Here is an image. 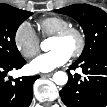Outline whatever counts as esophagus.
<instances>
[{
  "instance_id": "esophagus-1",
  "label": "esophagus",
  "mask_w": 107,
  "mask_h": 107,
  "mask_svg": "<svg viewBox=\"0 0 107 107\" xmlns=\"http://www.w3.org/2000/svg\"><path fill=\"white\" fill-rule=\"evenodd\" d=\"M52 75H53L52 72H50V73H41V74H40L41 77H50V76H52Z\"/></svg>"
}]
</instances>
